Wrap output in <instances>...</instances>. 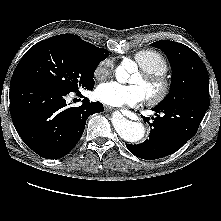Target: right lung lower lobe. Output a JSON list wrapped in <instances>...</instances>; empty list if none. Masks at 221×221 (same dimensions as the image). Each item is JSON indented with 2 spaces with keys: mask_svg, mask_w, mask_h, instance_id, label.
Here are the masks:
<instances>
[{
  "mask_svg": "<svg viewBox=\"0 0 221 221\" xmlns=\"http://www.w3.org/2000/svg\"><path fill=\"white\" fill-rule=\"evenodd\" d=\"M66 95L28 78L11 79L10 113L14 126L23 142L43 158L67 155L81 138L88 117L103 112L101 103L87 99L80 107L68 108Z\"/></svg>",
  "mask_w": 221,
  "mask_h": 221,
  "instance_id": "98d812e1",
  "label": "right lung lower lobe"
}]
</instances>
